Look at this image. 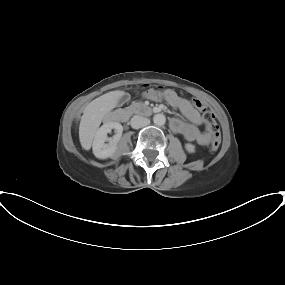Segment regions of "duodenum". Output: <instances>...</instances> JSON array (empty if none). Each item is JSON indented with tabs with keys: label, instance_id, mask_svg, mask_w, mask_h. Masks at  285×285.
<instances>
[{
	"label": "duodenum",
	"instance_id": "duodenum-1",
	"mask_svg": "<svg viewBox=\"0 0 285 285\" xmlns=\"http://www.w3.org/2000/svg\"><path fill=\"white\" fill-rule=\"evenodd\" d=\"M130 112L132 113H136V114H140V115H150L153 112V109H151L150 107H147L145 105H139L136 107H133ZM124 112H118L115 114V120L117 121H122L124 120Z\"/></svg>",
	"mask_w": 285,
	"mask_h": 285
}]
</instances>
